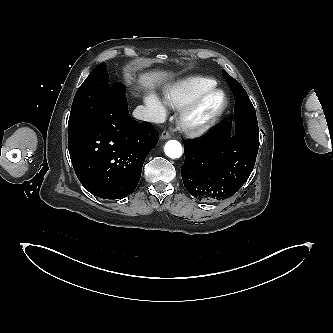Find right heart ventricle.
<instances>
[{"label":"right heart ventricle","mask_w":333,"mask_h":333,"mask_svg":"<svg viewBox=\"0 0 333 333\" xmlns=\"http://www.w3.org/2000/svg\"><path fill=\"white\" fill-rule=\"evenodd\" d=\"M214 86V79L202 76L187 77L168 86L164 91V99L170 107L182 109L200 93Z\"/></svg>","instance_id":"right-heart-ventricle-1"}]
</instances>
